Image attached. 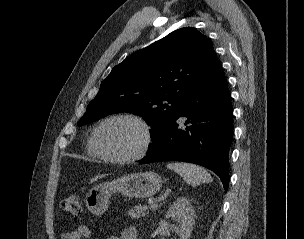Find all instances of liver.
Returning <instances> with one entry per match:
<instances>
[{
	"label": "liver",
	"instance_id": "6515ba94",
	"mask_svg": "<svg viewBox=\"0 0 304 239\" xmlns=\"http://www.w3.org/2000/svg\"><path fill=\"white\" fill-rule=\"evenodd\" d=\"M104 176H105L104 174L96 176V177L91 179L90 183H93V182L97 181L98 179L103 178Z\"/></svg>",
	"mask_w": 304,
	"mask_h": 239
}]
</instances>
